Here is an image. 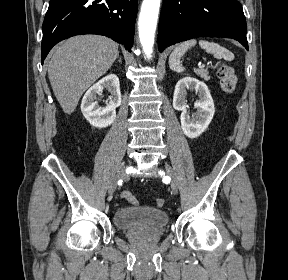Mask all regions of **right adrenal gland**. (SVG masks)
<instances>
[{
    "label": "right adrenal gland",
    "instance_id": "right-adrenal-gland-1",
    "mask_svg": "<svg viewBox=\"0 0 288 280\" xmlns=\"http://www.w3.org/2000/svg\"><path fill=\"white\" fill-rule=\"evenodd\" d=\"M118 61H119V63H122V59L119 56H118Z\"/></svg>",
    "mask_w": 288,
    "mask_h": 280
}]
</instances>
